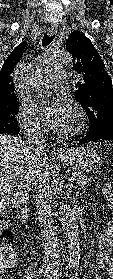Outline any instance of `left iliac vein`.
Masks as SVG:
<instances>
[{
	"mask_svg": "<svg viewBox=\"0 0 113 279\" xmlns=\"http://www.w3.org/2000/svg\"><path fill=\"white\" fill-rule=\"evenodd\" d=\"M46 279H56V277L52 276L50 273H46Z\"/></svg>",
	"mask_w": 113,
	"mask_h": 279,
	"instance_id": "4c4485c4",
	"label": "left iliac vein"
}]
</instances>
